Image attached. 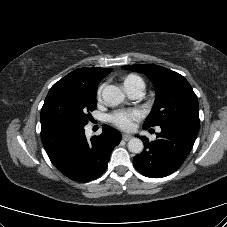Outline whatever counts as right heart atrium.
Returning <instances> with one entry per match:
<instances>
[{"mask_svg":"<svg viewBox=\"0 0 227 227\" xmlns=\"http://www.w3.org/2000/svg\"><path fill=\"white\" fill-rule=\"evenodd\" d=\"M102 90H103V85H100L97 89V98H100Z\"/></svg>","mask_w":227,"mask_h":227,"instance_id":"1","label":"right heart atrium"}]
</instances>
